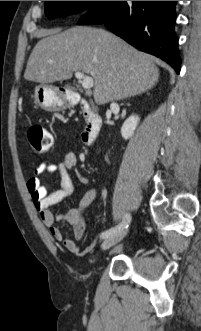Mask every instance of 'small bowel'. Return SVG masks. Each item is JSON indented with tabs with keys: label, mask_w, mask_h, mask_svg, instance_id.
<instances>
[{
	"label": "small bowel",
	"mask_w": 201,
	"mask_h": 331,
	"mask_svg": "<svg viewBox=\"0 0 201 331\" xmlns=\"http://www.w3.org/2000/svg\"><path fill=\"white\" fill-rule=\"evenodd\" d=\"M77 160V155L71 152L66 154L60 162H42L28 179L27 190L43 224L50 230L52 236L71 253L83 256L93 248V245L83 248L78 242L83 238L85 231L84 213L96 198V189L90 188L87 190L80 199L78 206L70 209L66 214L55 216L50 210L51 206L62 202L73 193L74 186L70 170L77 164ZM49 174H57L59 179L58 189L53 190L50 185L42 183L41 178ZM78 179L83 184L90 183V178L86 175L79 174ZM58 222H64L72 226V238L64 236L57 226Z\"/></svg>",
	"instance_id": "obj_1"
}]
</instances>
